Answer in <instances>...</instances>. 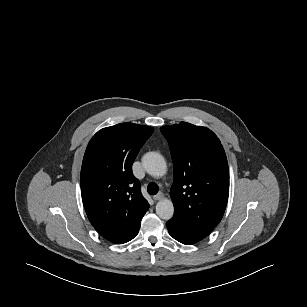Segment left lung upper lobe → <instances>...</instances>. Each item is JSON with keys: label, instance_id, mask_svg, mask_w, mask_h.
I'll return each instance as SVG.
<instances>
[{"label": "left lung upper lobe", "instance_id": "1", "mask_svg": "<svg viewBox=\"0 0 307 307\" xmlns=\"http://www.w3.org/2000/svg\"><path fill=\"white\" fill-rule=\"evenodd\" d=\"M174 164L173 218L207 236L221 221L229 195L225 151L210 129L180 122L160 128Z\"/></svg>", "mask_w": 307, "mask_h": 307}]
</instances>
